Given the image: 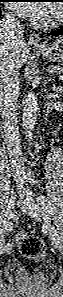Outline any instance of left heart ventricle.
Instances as JSON below:
<instances>
[{
    "label": "left heart ventricle",
    "mask_w": 63,
    "mask_h": 297,
    "mask_svg": "<svg viewBox=\"0 0 63 297\" xmlns=\"http://www.w3.org/2000/svg\"><path fill=\"white\" fill-rule=\"evenodd\" d=\"M55 15V11L53 10V8L51 9V13H50V16H49V19L53 18Z\"/></svg>",
    "instance_id": "1"
}]
</instances>
